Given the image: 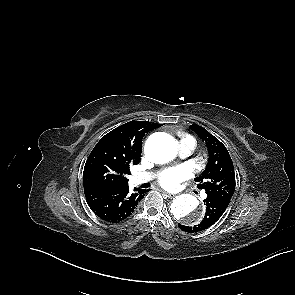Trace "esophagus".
<instances>
[{
  "label": "esophagus",
  "instance_id": "obj_1",
  "mask_svg": "<svg viewBox=\"0 0 295 295\" xmlns=\"http://www.w3.org/2000/svg\"><path fill=\"white\" fill-rule=\"evenodd\" d=\"M162 194H163L164 196L168 197V198H173V197H175V194L167 193V192H165V191H162Z\"/></svg>",
  "mask_w": 295,
  "mask_h": 295
}]
</instances>
